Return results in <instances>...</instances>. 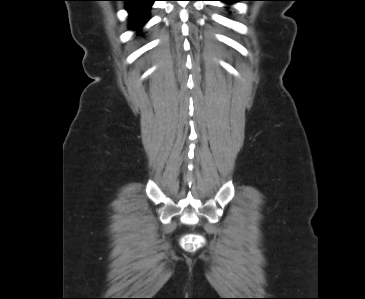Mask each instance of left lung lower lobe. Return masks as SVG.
I'll use <instances>...</instances> for the list:
<instances>
[{
    "label": "left lung lower lobe",
    "instance_id": "obj_1",
    "mask_svg": "<svg viewBox=\"0 0 365 299\" xmlns=\"http://www.w3.org/2000/svg\"><path fill=\"white\" fill-rule=\"evenodd\" d=\"M219 1H223V2H226V3H233V2H236V1H244V0H219Z\"/></svg>",
    "mask_w": 365,
    "mask_h": 299
}]
</instances>
